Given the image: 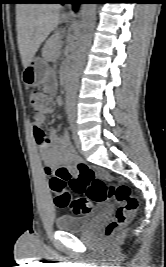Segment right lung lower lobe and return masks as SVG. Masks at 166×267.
I'll use <instances>...</instances> for the list:
<instances>
[{"label":"right lung lower lobe","instance_id":"98d812e1","mask_svg":"<svg viewBox=\"0 0 166 267\" xmlns=\"http://www.w3.org/2000/svg\"><path fill=\"white\" fill-rule=\"evenodd\" d=\"M53 0H26L28 3H51Z\"/></svg>","mask_w":166,"mask_h":267}]
</instances>
